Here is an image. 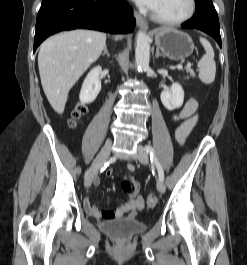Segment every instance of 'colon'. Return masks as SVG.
I'll return each instance as SVG.
<instances>
[{
  "label": "colon",
  "mask_w": 247,
  "mask_h": 265,
  "mask_svg": "<svg viewBox=\"0 0 247 265\" xmlns=\"http://www.w3.org/2000/svg\"><path fill=\"white\" fill-rule=\"evenodd\" d=\"M86 112H87V107L85 105H82V104L78 105L72 114V118L69 124L71 126H75L77 121L82 116H84ZM122 187L129 194H136L139 189L138 183L133 179L125 180L122 183ZM157 202H158V199L156 195L154 194H149L146 198V205L148 208H154L157 205Z\"/></svg>",
  "instance_id": "1"
}]
</instances>
